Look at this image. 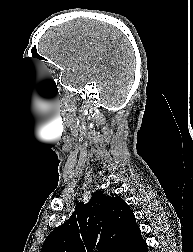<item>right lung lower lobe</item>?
I'll return each mask as SVG.
<instances>
[{"label": "right lung lower lobe", "mask_w": 193, "mask_h": 252, "mask_svg": "<svg viewBox=\"0 0 193 252\" xmlns=\"http://www.w3.org/2000/svg\"><path fill=\"white\" fill-rule=\"evenodd\" d=\"M119 252H148L147 244L141 236L140 229Z\"/></svg>", "instance_id": "98d812e1"}]
</instances>
